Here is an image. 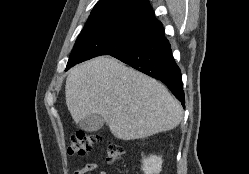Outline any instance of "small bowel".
Masks as SVG:
<instances>
[{
	"instance_id": "1",
	"label": "small bowel",
	"mask_w": 249,
	"mask_h": 174,
	"mask_svg": "<svg viewBox=\"0 0 249 174\" xmlns=\"http://www.w3.org/2000/svg\"><path fill=\"white\" fill-rule=\"evenodd\" d=\"M94 171H97V174H109L105 170H100L99 165L95 162L86 164L81 169L76 170L74 174H87V173L94 172Z\"/></svg>"
}]
</instances>
